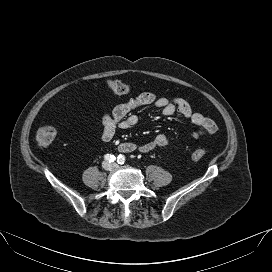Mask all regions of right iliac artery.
<instances>
[{
	"label": "right iliac artery",
	"mask_w": 272,
	"mask_h": 272,
	"mask_svg": "<svg viewBox=\"0 0 272 272\" xmlns=\"http://www.w3.org/2000/svg\"><path fill=\"white\" fill-rule=\"evenodd\" d=\"M104 159L107 160V161H109V162H114L115 159H116V157L114 155H112V154H106L104 156Z\"/></svg>",
	"instance_id": "82829eb1"
}]
</instances>
